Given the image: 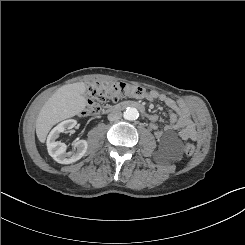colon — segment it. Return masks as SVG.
Masks as SVG:
<instances>
[{
    "label": "colon",
    "instance_id": "obj_1",
    "mask_svg": "<svg viewBox=\"0 0 245 245\" xmlns=\"http://www.w3.org/2000/svg\"><path fill=\"white\" fill-rule=\"evenodd\" d=\"M146 94L145 90L136 85H131L118 81H102L91 84L87 90V106L85 113L88 115L96 114L100 111L102 104L111 101L116 102L126 97H142ZM195 146L187 143L184 146L185 156H192Z\"/></svg>",
    "mask_w": 245,
    "mask_h": 245
}]
</instances>
